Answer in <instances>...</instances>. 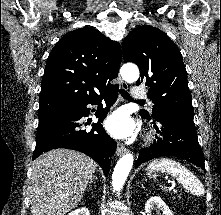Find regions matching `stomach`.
Listing matches in <instances>:
<instances>
[{
	"label": "stomach",
	"instance_id": "0dacf381",
	"mask_svg": "<svg viewBox=\"0 0 221 215\" xmlns=\"http://www.w3.org/2000/svg\"><path fill=\"white\" fill-rule=\"evenodd\" d=\"M158 169H147L146 170V175L148 176V178H156L158 176Z\"/></svg>",
	"mask_w": 221,
	"mask_h": 215
}]
</instances>
